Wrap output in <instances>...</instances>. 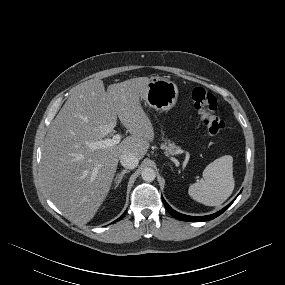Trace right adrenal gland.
Segmentation results:
<instances>
[{
    "label": "right adrenal gland",
    "instance_id": "right-adrenal-gland-1",
    "mask_svg": "<svg viewBox=\"0 0 285 285\" xmlns=\"http://www.w3.org/2000/svg\"><path fill=\"white\" fill-rule=\"evenodd\" d=\"M129 172H130L129 170H123V171H121V173L117 174V176H116V178H115V180H114L115 183H116V185L114 186V189H116V188L119 186V184H120V182L122 181L124 175H125L126 173H129Z\"/></svg>",
    "mask_w": 285,
    "mask_h": 285
}]
</instances>
